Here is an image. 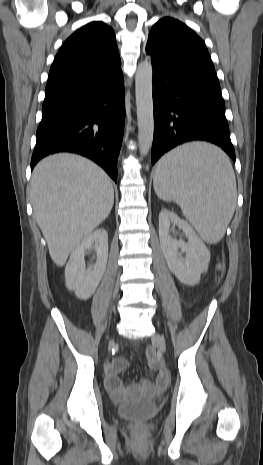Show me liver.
<instances>
[{"label": "liver", "mask_w": 263, "mask_h": 465, "mask_svg": "<svg viewBox=\"0 0 263 465\" xmlns=\"http://www.w3.org/2000/svg\"><path fill=\"white\" fill-rule=\"evenodd\" d=\"M30 193L50 257L60 267L108 217L114 203L112 181L105 171L70 153L41 160L33 170Z\"/></svg>", "instance_id": "liver-1"}]
</instances>
